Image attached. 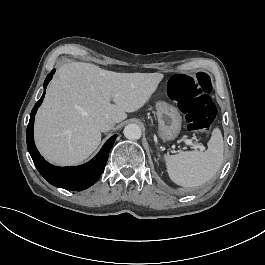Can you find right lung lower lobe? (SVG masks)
<instances>
[{
    "instance_id": "obj_1",
    "label": "right lung lower lobe",
    "mask_w": 265,
    "mask_h": 265,
    "mask_svg": "<svg viewBox=\"0 0 265 265\" xmlns=\"http://www.w3.org/2000/svg\"><path fill=\"white\" fill-rule=\"evenodd\" d=\"M54 73L55 69H53L46 77L43 85L44 93L31 111L26 134L28 151L36 168L50 184L67 190H84L92 186L101 176L117 135L108 139L96 157L86 164L76 167H56L45 161L34 144L33 124L36 111L44 99L46 87Z\"/></svg>"
}]
</instances>
